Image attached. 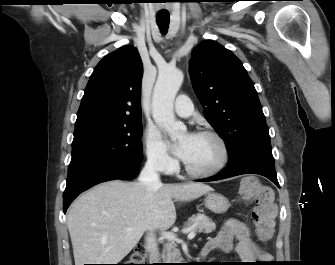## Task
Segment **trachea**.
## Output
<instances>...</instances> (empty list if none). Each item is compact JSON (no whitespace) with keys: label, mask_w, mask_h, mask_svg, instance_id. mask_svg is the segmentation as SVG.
<instances>
[{"label":"trachea","mask_w":335,"mask_h":265,"mask_svg":"<svg viewBox=\"0 0 335 265\" xmlns=\"http://www.w3.org/2000/svg\"><path fill=\"white\" fill-rule=\"evenodd\" d=\"M169 21H170V15L169 13L166 14H157L156 15V22L157 25L159 26L161 32L165 34L168 30L169 27Z\"/></svg>","instance_id":"3493384b"}]
</instances>
